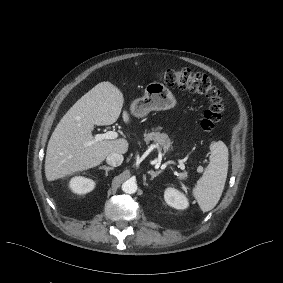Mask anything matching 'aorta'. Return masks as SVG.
Returning a JSON list of instances; mask_svg holds the SVG:
<instances>
[{
  "mask_svg": "<svg viewBox=\"0 0 283 283\" xmlns=\"http://www.w3.org/2000/svg\"><path fill=\"white\" fill-rule=\"evenodd\" d=\"M123 192L133 194L137 191V183L133 179H128L122 184Z\"/></svg>",
  "mask_w": 283,
  "mask_h": 283,
  "instance_id": "obj_1",
  "label": "aorta"
}]
</instances>
